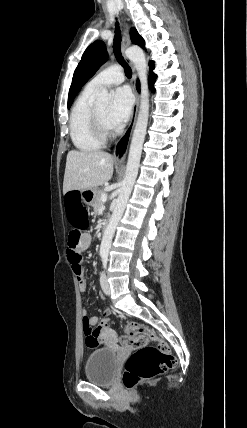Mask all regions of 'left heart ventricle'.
<instances>
[{"instance_id":"obj_1","label":"left heart ventricle","mask_w":247,"mask_h":428,"mask_svg":"<svg viewBox=\"0 0 247 428\" xmlns=\"http://www.w3.org/2000/svg\"><path fill=\"white\" fill-rule=\"evenodd\" d=\"M97 113L99 115V118L102 122V124L108 128L111 129L108 124H107V120H106V114H107V110H108V106L107 105H101V106H97L96 107Z\"/></svg>"}]
</instances>
